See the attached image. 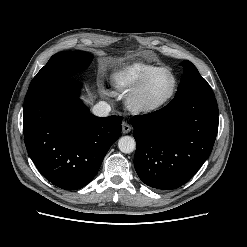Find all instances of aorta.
Wrapping results in <instances>:
<instances>
[{"mask_svg":"<svg viewBox=\"0 0 247 247\" xmlns=\"http://www.w3.org/2000/svg\"><path fill=\"white\" fill-rule=\"evenodd\" d=\"M118 148L123 153H132L136 148L135 139L131 136L121 137L118 141Z\"/></svg>","mask_w":247,"mask_h":247,"instance_id":"aorta-1","label":"aorta"}]
</instances>
